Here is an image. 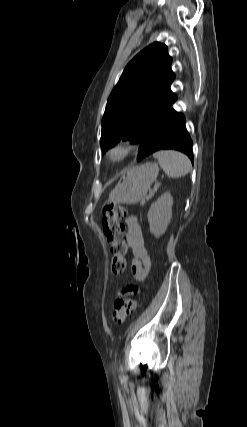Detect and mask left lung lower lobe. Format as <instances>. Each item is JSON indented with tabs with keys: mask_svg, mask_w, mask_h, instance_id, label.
I'll list each match as a JSON object with an SVG mask.
<instances>
[{
	"mask_svg": "<svg viewBox=\"0 0 247 427\" xmlns=\"http://www.w3.org/2000/svg\"><path fill=\"white\" fill-rule=\"evenodd\" d=\"M164 149H175L185 153L193 163L192 140L185 127L184 115L177 113L170 105L144 132L138 161Z\"/></svg>",
	"mask_w": 247,
	"mask_h": 427,
	"instance_id": "left-lung-lower-lobe-1",
	"label": "left lung lower lobe"
}]
</instances>
